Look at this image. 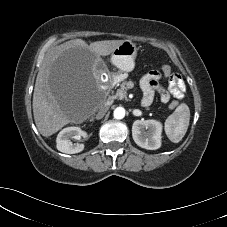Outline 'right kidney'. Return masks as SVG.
Listing matches in <instances>:
<instances>
[{
  "mask_svg": "<svg viewBox=\"0 0 227 227\" xmlns=\"http://www.w3.org/2000/svg\"><path fill=\"white\" fill-rule=\"evenodd\" d=\"M87 138V133L79 127H67L61 130L56 138V147L60 152L75 154L84 149L83 144L73 143L72 139Z\"/></svg>",
  "mask_w": 227,
  "mask_h": 227,
  "instance_id": "obj_1",
  "label": "right kidney"
}]
</instances>
